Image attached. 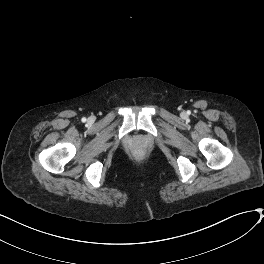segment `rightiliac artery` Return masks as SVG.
I'll return each instance as SVG.
<instances>
[{
    "instance_id": "right-iliac-artery-1",
    "label": "right iliac artery",
    "mask_w": 264,
    "mask_h": 264,
    "mask_svg": "<svg viewBox=\"0 0 264 264\" xmlns=\"http://www.w3.org/2000/svg\"><path fill=\"white\" fill-rule=\"evenodd\" d=\"M82 121H83V122H86V118H85V117H84V118H82Z\"/></svg>"
}]
</instances>
